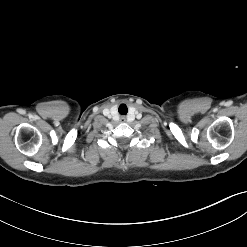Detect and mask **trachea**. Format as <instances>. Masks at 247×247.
Listing matches in <instances>:
<instances>
[{"label":"trachea","instance_id":"3493384b","mask_svg":"<svg viewBox=\"0 0 247 247\" xmlns=\"http://www.w3.org/2000/svg\"><path fill=\"white\" fill-rule=\"evenodd\" d=\"M123 107L126 108V112H125V113H121V114H126V113H127V107H126V105H124V104H122V105L119 107V112H120V109L123 108Z\"/></svg>","mask_w":247,"mask_h":247}]
</instances>
